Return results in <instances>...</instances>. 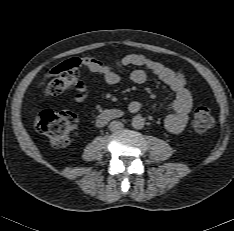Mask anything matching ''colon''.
<instances>
[{"mask_svg":"<svg viewBox=\"0 0 234 231\" xmlns=\"http://www.w3.org/2000/svg\"><path fill=\"white\" fill-rule=\"evenodd\" d=\"M81 63L69 60L59 66L57 75L50 81L48 92L53 96L65 95L71 91L78 81ZM77 124V115L70 110H43L34 120L36 131L49 139L55 148L65 147L70 141V133ZM214 125V119L205 107L196 109L193 128L198 133H205Z\"/></svg>","mask_w":234,"mask_h":231,"instance_id":"obj_1","label":"colon"}]
</instances>
